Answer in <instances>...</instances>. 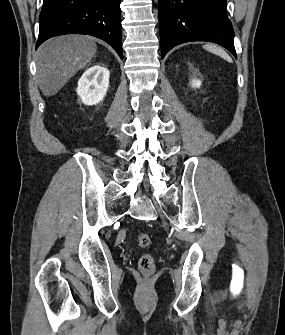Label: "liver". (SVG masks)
<instances>
[{"instance_id":"obj_1","label":"liver","mask_w":285,"mask_h":335,"mask_svg":"<svg viewBox=\"0 0 285 335\" xmlns=\"http://www.w3.org/2000/svg\"><path fill=\"white\" fill-rule=\"evenodd\" d=\"M97 52L91 36H60L40 46L37 78L44 96H55L66 82L82 70Z\"/></svg>"}]
</instances>
